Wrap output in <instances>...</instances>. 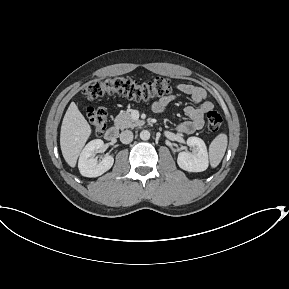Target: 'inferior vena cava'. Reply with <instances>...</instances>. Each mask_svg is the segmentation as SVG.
<instances>
[{
    "label": "inferior vena cava",
    "mask_w": 289,
    "mask_h": 289,
    "mask_svg": "<svg viewBox=\"0 0 289 289\" xmlns=\"http://www.w3.org/2000/svg\"><path fill=\"white\" fill-rule=\"evenodd\" d=\"M133 140V133L132 131L130 130H125V131H122L121 134H120V141L123 143V144H129L131 143Z\"/></svg>",
    "instance_id": "1"
}]
</instances>
